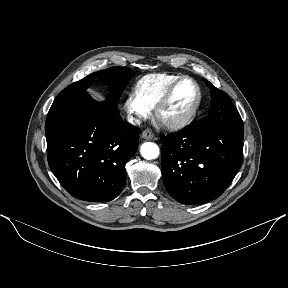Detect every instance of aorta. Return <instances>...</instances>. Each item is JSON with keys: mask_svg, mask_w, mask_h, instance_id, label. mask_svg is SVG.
<instances>
[{"mask_svg": "<svg viewBox=\"0 0 288 288\" xmlns=\"http://www.w3.org/2000/svg\"><path fill=\"white\" fill-rule=\"evenodd\" d=\"M141 155L147 160L156 159L159 156V147L152 142L143 143L140 148Z\"/></svg>", "mask_w": 288, "mask_h": 288, "instance_id": "obj_1", "label": "aorta"}]
</instances>
